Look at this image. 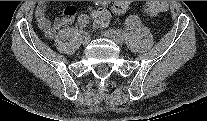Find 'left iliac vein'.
<instances>
[{
  "mask_svg": "<svg viewBox=\"0 0 207 121\" xmlns=\"http://www.w3.org/2000/svg\"><path fill=\"white\" fill-rule=\"evenodd\" d=\"M104 36L114 41L116 44L124 42V35L118 30L109 29L104 32Z\"/></svg>",
  "mask_w": 207,
  "mask_h": 121,
  "instance_id": "left-iliac-vein-1",
  "label": "left iliac vein"
}]
</instances>
